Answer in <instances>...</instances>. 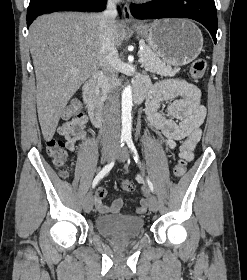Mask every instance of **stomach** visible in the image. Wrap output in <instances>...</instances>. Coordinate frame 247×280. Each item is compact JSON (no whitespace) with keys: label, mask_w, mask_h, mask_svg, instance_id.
I'll use <instances>...</instances> for the list:
<instances>
[{"label":"stomach","mask_w":247,"mask_h":280,"mask_svg":"<svg viewBox=\"0 0 247 280\" xmlns=\"http://www.w3.org/2000/svg\"><path fill=\"white\" fill-rule=\"evenodd\" d=\"M134 31L147 41L157 57L176 67L192 62L203 47L202 33L190 20H157L142 23Z\"/></svg>","instance_id":"stomach-1"}]
</instances>
